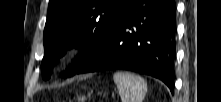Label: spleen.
Listing matches in <instances>:
<instances>
[{"label":"spleen","mask_w":221,"mask_h":102,"mask_svg":"<svg viewBox=\"0 0 221 102\" xmlns=\"http://www.w3.org/2000/svg\"><path fill=\"white\" fill-rule=\"evenodd\" d=\"M122 102H142L146 92L147 83L139 75L125 71H117L113 75Z\"/></svg>","instance_id":"obj_1"}]
</instances>
